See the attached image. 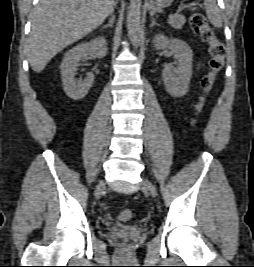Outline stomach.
<instances>
[{
    "mask_svg": "<svg viewBox=\"0 0 254 267\" xmlns=\"http://www.w3.org/2000/svg\"><path fill=\"white\" fill-rule=\"evenodd\" d=\"M174 0H149V9H163L169 7Z\"/></svg>",
    "mask_w": 254,
    "mask_h": 267,
    "instance_id": "stomach-1",
    "label": "stomach"
}]
</instances>
